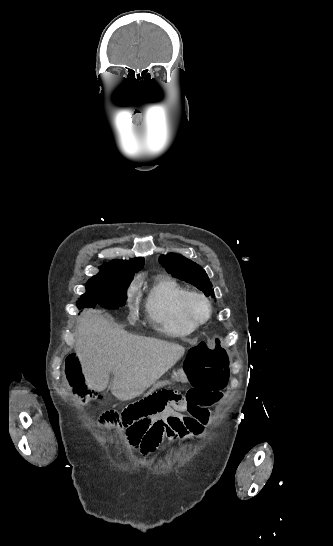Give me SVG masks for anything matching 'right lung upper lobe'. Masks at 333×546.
Returning <instances> with one entry per match:
<instances>
[{"label":"right lung upper lobe","instance_id":"obj_1","mask_svg":"<svg viewBox=\"0 0 333 546\" xmlns=\"http://www.w3.org/2000/svg\"><path fill=\"white\" fill-rule=\"evenodd\" d=\"M144 266V258L143 257H136L134 259L130 260H113L110 262H105L104 265L100 266V270H119V271H125V272H138L140 271Z\"/></svg>","mask_w":333,"mask_h":546}]
</instances>
